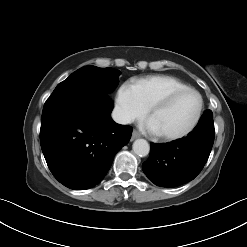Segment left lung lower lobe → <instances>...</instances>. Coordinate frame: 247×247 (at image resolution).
Listing matches in <instances>:
<instances>
[{"label":"left lung lower lobe","mask_w":247,"mask_h":247,"mask_svg":"<svg viewBox=\"0 0 247 247\" xmlns=\"http://www.w3.org/2000/svg\"><path fill=\"white\" fill-rule=\"evenodd\" d=\"M214 136L213 113L206 110L187 137L170 143H150V156L142 164L145 175L161 187H176L193 180L208 160Z\"/></svg>","instance_id":"1"}]
</instances>
